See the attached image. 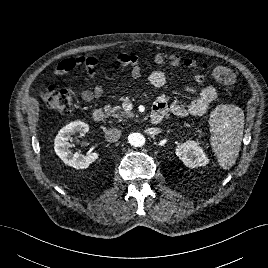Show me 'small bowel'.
I'll use <instances>...</instances> for the list:
<instances>
[{
  "label": "small bowel",
  "instance_id": "obj_1",
  "mask_svg": "<svg viewBox=\"0 0 268 268\" xmlns=\"http://www.w3.org/2000/svg\"><path fill=\"white\" fill-rule=\"evenodd\" d=\"M116 60L121 65L131 67L130 74L132 78L138 79L141 77L142 69L139 65V58L136 55L119 54ZM99 66L100 61L96 56H76L62 60L57 65L54 75H64L77 67H83L87 73L96 80ZM203 80L204 77L202 75L196 76L197 84H202ZM148 81L152 86L161 88L166 85L168 78L163 71L154 70L150 73ZM51 89L52 87L49 88V90ZM185 89L188 93L196 95L190 103L187 105H183L178 101L169 103L164 95H159L153 106L152 112H161L164 115L168 112H172L182 117L187 115L200 116L209 110L218 96L217 90L213 86H203L199 89L187 86ZM46 94H48V92L42 91L40 93L41 98L45 99ZM103 94V86L96 80L94 88L92 90H84L81 97L84 101L90 102L102 97Z\"/></svg>",
  "mask_w": 268,
  "mask_h": 268
}]
</instances>
